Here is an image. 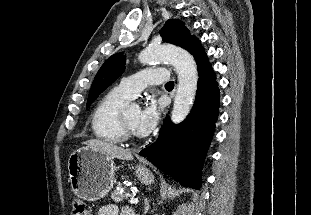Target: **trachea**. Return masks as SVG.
Returning a JSON list of instances; mask_svg holds the SVG:
<instances>
[{
  "label": "trachea",
  "mask_w": 311,
  "mask_h": 215,
  "mask_svg": "<svg viewBox=\"0 0 311 215\" xmlns=\"http://www.w3.org/2000/svg\"><path fill=\"white\" fill-rule=\"evenodd\" d=\"M165 87L173 88L174 87V82L173 81H169L168 83H166Z\"/></svg>",
  "instance_id": "trachea-1"
}]
</instances>
